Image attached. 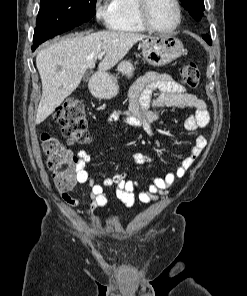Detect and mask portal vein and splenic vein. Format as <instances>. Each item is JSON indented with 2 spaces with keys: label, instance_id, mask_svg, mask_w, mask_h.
Returning <instances> with one entry per match:
<instances>
[{
  "label": "portal vein and splenic vein",
  "instance_id": "1",
  "mask_svg": "<svg viewBox=\"0 0 247 296\" xmlns=\"http://www.w3.org/2000/svg\"><path fill=\"white\" fill-rule=\"evenodd\" d=\"M103 56H104V53L102 52V53H99L97 57L98 59H102Z\"/></svg>",
  "mask_w": 247,
  "mask_h": 296
}]
</instances>
